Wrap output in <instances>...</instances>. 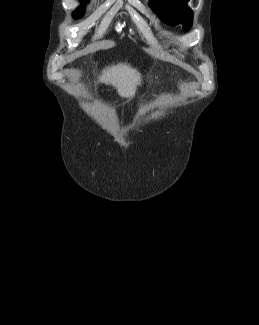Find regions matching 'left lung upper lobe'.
<instances>
[{
	"instance_id": "1",
	"label": "left lung upper lobe",
	"mask_w": 259,
	"mask_h": 325,
	"mask_svg": "<svg viewBox=\"0 0 259 325\" xmlns=\"http://www.w3.org/2000/svg\"><path fill=\"white\" fill-rule=\"evenodd\" d=\"M189 0H151L150 5L168 24H182L183 29L191 28L193 13L187 6Z\"/></svg>"
}]
</instances>
